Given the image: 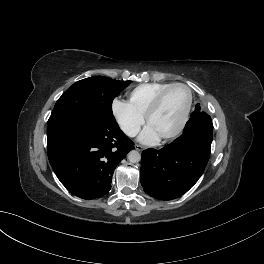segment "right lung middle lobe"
<instances>
[{"instance_id": "right-lung-middle-lobe-1", "label": "right lung middle lobe", "mask_w": 264, "mask_h": 264, "mask_svg": "<svg viewBox=\"0 0 264 264\" xmlns=\"http://www.w3.org/2000/svg\"><path fill=\"white\" fill-rule=\"evenodd\" d=\"M132 81L94 76L74 83L58 99L47 124V134L80 119L112 120L113 99Z\"/></svg>"}]
</instances>
